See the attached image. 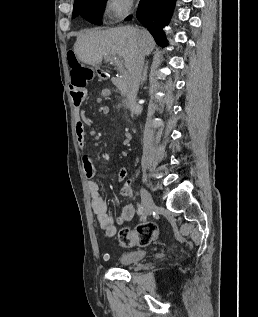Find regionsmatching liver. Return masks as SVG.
<instances>
[{"label":"liver","mask_w":258,"mask_h":317,"mask_svg":"<svg viewBox=\"0 0 258 317\" xmlns=\"http://www.w3.org/2000/svg\"><path fill=\"white\" fill-rule=\"evenodd\" d=\"M137 42L150 54L155 46V40L146 28L138 26H118L109 30H86L77 36L74 52L86 64H100L103 54L107 56H122L126 68L137 50Z\"/></svg>","instance_id":"6515ba94"}]
</instances>
